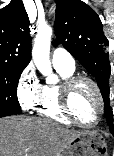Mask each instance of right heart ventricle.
Returning <instances> with one entry per match:
<instances>
[{"label":"right heart ventricle","instance_id":"1","mask_svg":"<svg viewBox=\"0 0 114 156\" xmlns=\"http://www.w3.org/2000/svg\"><path fill=\"white\" fill-rule=\"evenodd\" d=\"M62 82L73 76L74 69L55 67ZM60 84H46L42 86V91L34 110L36 113L50 120H54L64 125H70L72 121L63 113L60 105Z\"/></svg>","mask_w":114,"mask_h":156}]
</instances>
